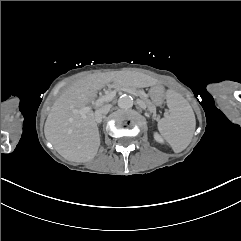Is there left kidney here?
Instances as JSON below:
<instances>
[{"mask_svg": "<svg viewBox=\"0 0 241 241\" xmlns=\"http://www.w3.org/2000/svg\"><path fill=\"white\" fill-rule=\"evenodd\" d=\"M154 139L161 144L164 143V140H163L162 136L159 135L157 132L154 133Z\"/></svg>", "mask_w": 241, "mask_h": 241, "instance_id": "obj_1", "label": "left kidney"}]
</instances>
